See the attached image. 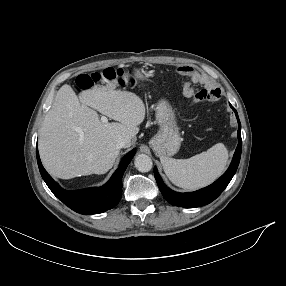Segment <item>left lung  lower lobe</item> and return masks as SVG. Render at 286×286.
<instances>
[{
  "label": "left lung lower lobe",
  "mask_w": 286,
  "mask_h": 286,
  "mask_svg": "<svg viewBox=\"0 0 286 286\" xmlns=\"http://www.w3.org/2000/svg\"><path fill=\"white\" fill-rule=\"evenodd\" d=\"M230 106L234 110L238 120V146L236 148L230 167L225 172V174L222 175L218 180H216L210 186L195 192L178 193L165 186L156 167L154 168V176L159 186V189L164 198L170 204L185 208H195L209 204L222 193V191L227 187V185L231 181L239 165L241 150H242V139H241V124L238 118L237 111L231 104Z\"/></svg>",
  "instance_id": "obj_1"
}]
</instances>
